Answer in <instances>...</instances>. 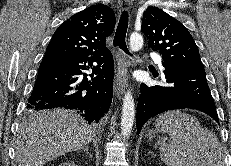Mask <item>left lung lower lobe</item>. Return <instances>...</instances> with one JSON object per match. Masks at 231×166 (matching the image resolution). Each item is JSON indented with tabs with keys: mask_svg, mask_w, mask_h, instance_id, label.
Masks as SVG:
<instances>
[{
	"mask_svg": "<svg viewBox=\"0 0 231 166\" xmlns=\"http://www.w3.org/2000/svg\"><path fill=\"white\" fill-rule=\"evenodd\" d=\"M165 85L141 84L137 105V130L160 113L174 109H196L219 122L204 68H189L162 62Z\"/></svg>",
	"mask_w": 231,
	"mask_h": 166,
	"instance_id": "obj_1",
	"label": "left lung lower lobe"
}]
</instances>
